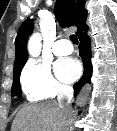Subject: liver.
Segmentation results:
<instances>
[{"label":"liver","instance_id":"6515ba94","mask_svg":"<svg viewBox=\"0 0 117 131\" xmlns=\"http://www.w3.org/2000/svg\"><path fill=\"white\" fill-rule=\"evenodd\" d=\"M71 117L57 102L23 107L16 115L11 131H68Z\"/></svg>","mask_w":117,"mask_h":131}]
</instances>
